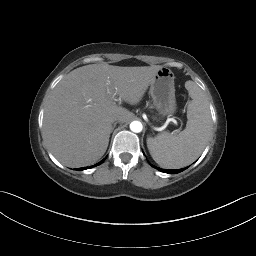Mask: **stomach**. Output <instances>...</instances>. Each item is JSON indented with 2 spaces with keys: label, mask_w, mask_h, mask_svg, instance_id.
Returning <instances> with one entry per match:
<instances>
[{
  "label": "stomach",
  "mask_w": 256,
  "mask_h": 256,
  "mask_svg": "<svg viewBox=\"0 0 256 256\" xmlns=\"http://www.w3.org/2000/svg\"><path fill=\"white\" fill-rule=\"evenodd\" d=\"M174 79L173 72L168 68L162 67L150 84L153 104L162 116L172 115L177 109Z\"/></svg>",
  "instance_id": "0dacf381"
}]
</instances>
